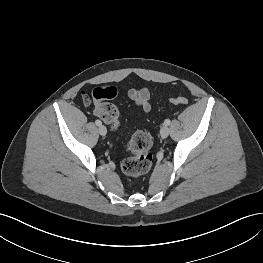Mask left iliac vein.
Returning <instances> with one entry per match:
<instances>
[{
	"label": "left iliac vein",
	"instance_id": "left-iliac-vein-1",
	"mask_svg": "<svg viewBox=\"0 0 263 263\" xmlns=\"http://www.w3.org/2000/svg\"><path fill=\"white\" fill-rule=\"evenodd\" d=\"M169 128L167 125H163L160 129V135L162 138H167V136L169 135Z\"/></svg>",
	"mask_w": 263,
	"mask_h": 263
}]
</instances>
